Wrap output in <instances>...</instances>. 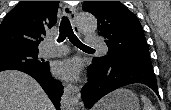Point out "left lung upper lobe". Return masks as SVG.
Masks as SVG:
<instances>
[{"mask_svg":"<svg viewBox=\"0 0 171 110\" xmlns=\"http://www.w3.org/2000/svg\"><path fill=\"white\" fill-rule=\"evenodd\" d=\"M83 11L98 19L99 35L104 37L108 53L93 62L111 61L152 65L142 26L138 18L119 1H85Z\"/></svg>","mask_w":171,"mask_h":110,"instance_id":"obj_1","label":"left lung upper lobe"}]
</instances>
